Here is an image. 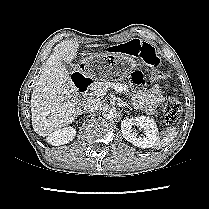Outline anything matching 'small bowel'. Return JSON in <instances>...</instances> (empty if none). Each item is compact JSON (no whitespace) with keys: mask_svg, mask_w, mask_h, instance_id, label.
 <instances>
[{"mask_svg":"<svg viewBox=\"0 0 209 209\" xmlns=\"http://www.w3.org/2000/svg\"><path fill=\"white\" fill-rule=\"evenodd\" d=\"M128 81L131 86L140 88L145 85L147 76L144 71L135 69L130 72ZM162 101L161 89L158 84H153L150 88H141L134 98V104L137 108H143L149 113L156 112Z\"/></svg>","mask_w":209,"mask_h":209,"instance_id":"small-bowel-1","label":"small bowel"}]
</instances>
